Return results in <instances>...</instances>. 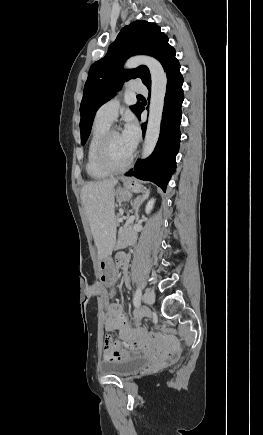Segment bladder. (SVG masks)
<instances>
[{
  "label": "bladder",
  "mask_w": 263,
  "mask_h": 435,
  "mask_svg": "<svg viewBox=\"0 0 263 435\" xmlns=\"http://www.w3.org/2000/svg\"><path fill=\"white\" fill-rule=\"evenodd\" d=\"M148 364V359L140 355H130L124 359L107 362L101 366V372L105 375L120 378L130 376L143 369Z\"/></svg>",
  "instance_id": "bladder-1"
}]
</instances>
